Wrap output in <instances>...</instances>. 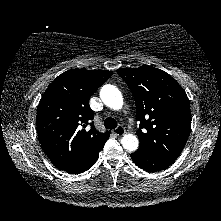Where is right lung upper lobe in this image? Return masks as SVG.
<instances>
[{
	"instance_id": "1",
	"label": "right lung upper lobe",
	"mask_w": 221,
	"mask_h": 221,
	"mask_svg": "<svg viewBox=\"0 0 221 221\" xmlns=\"http://www.w3.org/2000/svg\"><path fill=\"white\" fill-rule=\"evenodd\" d=\"M112 74L105 70H68L43 94L37 109V130L56 168L73 170L109 138V132L100 133L94 127L89 99Z\"/></svg>"
}]
</instances>
